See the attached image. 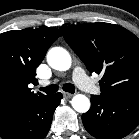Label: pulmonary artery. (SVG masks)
<instances>
[{"instance_id":"e3ab8cb5","label":"pulmonary artery","mask_w":139,"mask_h":139,"mask_svg":"<svg viewBox=\"0 0 139 139\" xmlns=\"http://www.w3.org/2000/svg\"><path fill=\"white\" fill-rule=\"evenodd\" d=\"M73 79L75 83L84 91L89 93H98L99 89L88 78L86 73L81 67H76L73 71ZM46 84V82H45Z\"/></svg>"}]
</instances>
